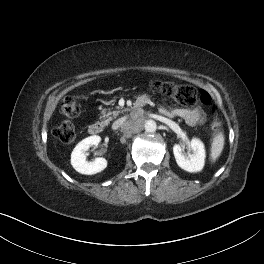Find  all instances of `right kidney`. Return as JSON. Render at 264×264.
<instances>
[{
  "label": "right kidney",
  "instance_id": "1",
  "mask_svg": "<svg viewBox=\"0 0 264 264\" xmlns=\"http://www.w3.org/2000/svg\"><path fill=\"white\" fill-rule=\"evenodd\" d=\"M101 138L97 135H93L83 139L77 144L71 154V165L73 168L85 175H93L103 171L107 167V160L105 158H96L94 161L89 162L86 160L85 152L91 146H97Z\"/></svg>",
  "mask_w": 264,
  "mask_h": 264
}]
</instances>
